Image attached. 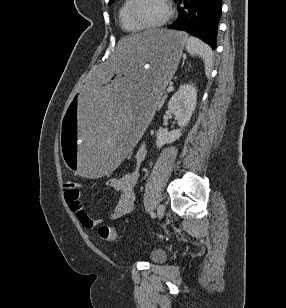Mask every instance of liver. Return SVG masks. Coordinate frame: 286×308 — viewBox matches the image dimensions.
I'll list each match as a JSON object with an SVG mask.
<instances>
[{
    "instance_id": "6515ba94",
    "label": "liver",
    "mask_w": 286,
    "mask_h": 308,
    "mask_svg": "<svg viewBox=\"0 0 286 308\" xmlns=\"http://www.w3.org/2000/svg\"><path fill=\"white\" fill-rule=\"evenodd\" d=\"M153 32L154 31L145 32V33L137 34V35H134V36H131V37H128L126 39L121 40L118 44L116 51H115L114 57H117V56L123 54L127 50L128 45L130 43L144 39V38L148 37Z\"/></svg>"
}]
</instances>
